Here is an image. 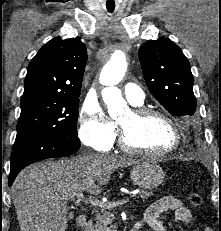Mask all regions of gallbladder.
Masks as SVG:
<instances>
[{
    "mask_svg": "<svg viewBox=\"0 0 221 231\" xmlns=\"http://www.w3.org/2000/svg\"><path fill=\"white\" fill-rule=\"evenodd\" d=\"M69 218H70V219L73 218V214H72V213L69 214Z\"/></svg>",
    "mask_w": 221,
    "mask_h": 231,
    "instance_id": "1",
    "label": "gallbladder"
}]
</instances>
